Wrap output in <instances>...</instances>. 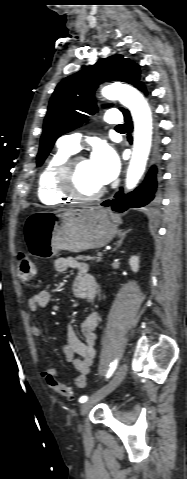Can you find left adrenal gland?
<instances>
[{"label": "left adrenal gland", "instance_id": "obj_1", "mask_svg": "<svg viewBox=\"0 0 187 479\" xmlns=\"http://www.w3.org/2000/svg\"><path fill=\"white\" fill-rule=\"evenodd\" d=\"M129 232H130V230H127V231H122V230H120V231H119V234H118L119 240L117 241L116 246H115V248L113 249V251H115L117 248H119V247L122 245V243H123V241H124L126 235H127Z\"/></svg>", "mask_w": 187, "mask_h": 479}]
</instances>
